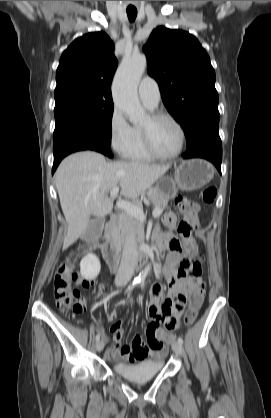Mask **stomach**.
Segmentation results:
<instances>
[{"mask_svg": "<svg viewBox=\"0 0 271 418\" xmlns=\"http://www.w3.org/2000/svg\"><path fill=\"white\" fill-rule=\"evenodd\" d=\"M214 176L213 166L203 159H190L180 163L174 178L169 176L158 180L156 188L167 198H173L178 189L197 190L209 183Z\"/></svg>", "mask_w": 271, "mask_h": 418, "instance_id": "obj_1", "label": "stomach"}]
</instances>
